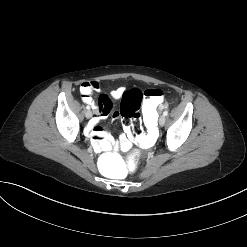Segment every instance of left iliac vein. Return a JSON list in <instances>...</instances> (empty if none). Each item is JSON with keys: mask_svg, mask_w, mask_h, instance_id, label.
I'll return each mask as SVG.
<instances>
[{"mask_svg": "<svg viewBox=\"0 0 247 247\" xmlns=\"http://www.w3.org/2000/svg\"><path fill=\"white\" fill-rule=\"evenodd\" d=\"M166 118L164 115L160 116L159 118V125L163 126L165 124Z\"/></svg>", "mask_w": 247, "mask_h": 247, "instance_id": "1", "label": "left iliac vein"}]
</instances>
